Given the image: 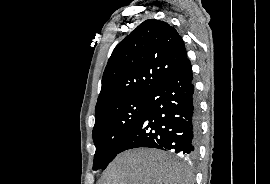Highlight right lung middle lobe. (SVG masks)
<instances>
[{
	"instance_id": "obj_1",
	"label": "right lung middle lobe",
	"mask_w": 270,
	"mask_h": 184,
	"mask_svg": "<svg viewBox=\"0 0 270 184\" xmlns=\"http://www.w3.org/2000/svg\"><path fill=\"white\" fill-rule=\"evenodd\" d=\"M147 106V96H136L104 110L95 121L93 141L96 146L93 170L105 169L116 157L126 138L134 130Z\"/></svg>"
}]
</instances>
